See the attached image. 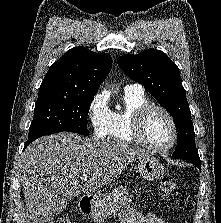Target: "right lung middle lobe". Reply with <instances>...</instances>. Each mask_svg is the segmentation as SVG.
<instances>
[{"mask_svg":"<svg viewBox=\"0 0 221 223\" xmlns=\"http://www.w3.org/2000/svg\"><path fill=\"white\" fill-rule=\"evenodd\" d=\"M94 96L58 97L36 102L27 141L62 131L89 135L87 115Z\"/></svg>","mask_w":221,"mask_h":223,"instance_id":"dd1d6c3e","label":"right lung middle lobe"}]
</instances>
